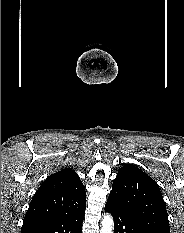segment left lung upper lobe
I'll use <instances>...</instances> for the list:
<instances>
[{"instance_id": "1", "label": "left lung upper lobe", "mask_w": 184, "mask_h": 233, "mask_svg": "<svg viewBox=\"0 0 184 233\" xmlns=\"http://www.w3.org/2000/svg\"><path fill=\"white\" fill-rule=\"evenodd\" d=\"M108 200L137 220L149 233H170L168 214L158 184L133 165L119 169Z\"/></svg>"}]
</instances>
